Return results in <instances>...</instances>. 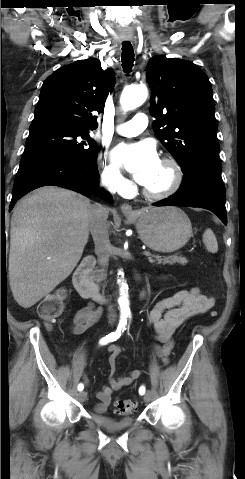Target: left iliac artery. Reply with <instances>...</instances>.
I'll use <instances>...</instances> for the list:
<instances>
[{
  "label": "left iliac artery",
  "mask_w": 245,
  "mask_h": 479,
  "mask_svg": "<svg viewBox=\"0 0 245 479\" xmlns=\"http://www.w3.org/2000/svg\"><path fill=\"white\" fill-rule=\"evenodd\" d=\"M144 393H145V387H144V386H141V387L139 388V394H140V395H143Z\"/></svg>",
  "instance_id": "44dca946"
}]
</instances>
